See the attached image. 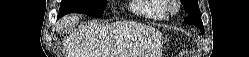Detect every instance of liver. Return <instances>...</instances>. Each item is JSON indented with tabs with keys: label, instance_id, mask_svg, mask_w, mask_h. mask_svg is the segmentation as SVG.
Instances as JSON below:
<instances>
[{
	"label": "liver",
	"instance_id": "obj_1",
	"mask_svg": "<svg viewBox=\"0 0 249 57\" xmlns=\"http://www.w3.org/2000/svg\"><path fill=\"white\" fill-rule=\"evenodd\" d=\"M79 16L61 20V25L72 26ZM161 34L154 28L133 22L99 24L89 22L82 29L66 37L69 57H144L149 51H159Z\"/></svg>",
	"mask_w": 249,
	"mask_h": 57
}]
</instances>
